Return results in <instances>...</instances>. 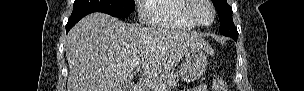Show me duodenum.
Listing matches in <instances>:
<instances>
[{"mask_svg":"<svg viewBox=\"0 0 304 91\" xmlns=\"http://www.w3.org/2000/svg\"><path fill=\"white\" fill-rule=\"evenodd\" d=\"M132 90H133V91H145L143 85L140 84V83L135 84V85L133 86V89H132Z\"/></svg>","mask_w":304,"mask_h":91,"instance_id":"obj_1","label":"duodenum"}]
</instances>
